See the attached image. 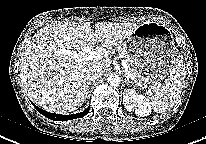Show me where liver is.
I'll return each instance as SVG.
<instances>
[{
	"mask_svg": "<svg viewBox=\"0 0 206 144\" xmlns=\"http://www.w3.org/2000/svg\"><path fill=\"white\" fill-rule=\"evenodd\" d=\"M140 24L97 22H56L43 27L21 57L20 78L28 97L49 112L67 114L77 110L87 96V70L111 64L107 57L76 61L62 50L74 51L102 42L117 46L128 39Z\"/></svg>",
	"mask_w": 206,
	"mask_h": 144,
	"instance_id": "1",
	"label": "liver"
}]
</instances>
